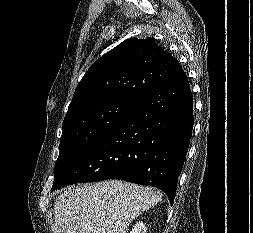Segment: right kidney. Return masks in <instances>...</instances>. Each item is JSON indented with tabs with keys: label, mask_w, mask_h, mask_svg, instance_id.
I'll list each match as a JSON object with an SVG mask.
<instances>
[{
	"label": "right kidney",
	"mask_w": 253,
	"mask_h": 233,
	"mask_svg": "<svg viewBox=\"0 0 253 233\" xmlns=\"http://www.w3.org/2000/svg\"><path fill=\"white\" fill-rule=\"evenodd\" d=\"M147 228L143 222L137 223L130 233H146Z\"/></svg>",
	"instance_id": "1"
}]
</instances>
